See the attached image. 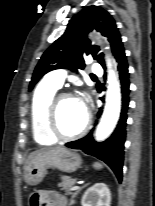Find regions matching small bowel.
I'll return each mask as SVG.
<instances>
[{
    "mask_svg": "<svg viewBox=\"0 0 155 206\" xmlns=\"http://www.w3.org/2000/svg\"><path fill=\"white\" fill-rule=\"evenodd\" d=\"M40 197L38 206H65L66 198L55 191H43L37 193Z\"/></svg>",
    "mask_w": 155,
    "mask_h": 206,
    "instance_id": "small-bowel-1",
    "label": "small bowel"
}]
</instances>
